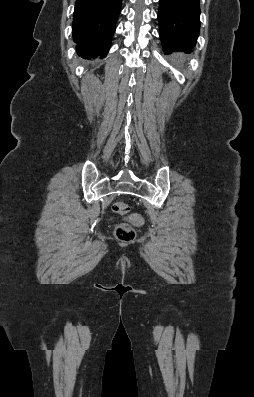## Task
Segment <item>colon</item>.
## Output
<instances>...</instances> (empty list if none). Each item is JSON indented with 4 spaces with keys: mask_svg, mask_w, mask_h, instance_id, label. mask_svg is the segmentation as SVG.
I'll use <instances>...</instances> for the list:
<instances>
[{
    "mask_svg": "<svg viewBox=\"0 0 254 397\" xmlns=\"http://www.w3.org/2000/svg\"><path fill=\"white\" fill-rule=\"evenodd\" d=\"M112 209L117 214H127L130 211L129 206L122 202L116 201L113 203ZM114 236L121 242H131L135 239L136 233L134 228L128 223H117L113 228Z\"/></svg>",
    "mask_w": 254,
    "mask_h": 397,
    "instance_id": "obj_1",
    "label": "colon"
}]
</instances>
